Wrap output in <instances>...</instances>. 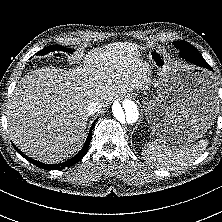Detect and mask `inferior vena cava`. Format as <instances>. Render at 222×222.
I'll return each mask as SVG.
<instances>
[{
  "label": "inferior vena cava",
  "instance_id": "602c4592",
  "mask_svg": "<svg viewBox=\"0 0 222 222\" xmlns=\"http://www.w3.org/2000/svg\"><path fill=\"white\" fill-rule=\"evenodd\" d=\"M102 107V104L99 101L91 102L87 106V113L89 115L94 114Z\"/></svg>",
  "mask_w": 222,
  "mask_h": 222
}]
</instances>
